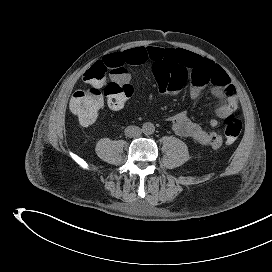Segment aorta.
I'll list each match as a JSON object with an SVG mask.
<instances>
[{"label":"aorta","instance_id":"obj_1","mask_svg":"<svg viewBox=\"0 0 272 272\" xmlns=\"http://www.w3.org/2000/svg\"><path fill=\"white\" fill-rule=\"evenodd\" d=\"M155 131V126L153 123L151 122H146L143 124L142 126V132L145 134V135H151L153 134Z\"/></svg>","mask_w":272,"mask_h":272}]
</instances>
